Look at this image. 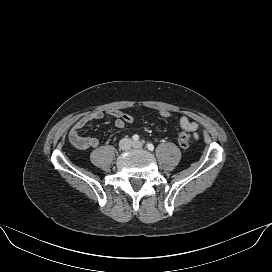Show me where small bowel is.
Segmentation results:
<instances>
[{
    "label": "small bowel",
    "mask_w": 272,
    "mask_h": 272,
    "mask_svg": "<svg viewBox=\"0 0 272 272\" xmlns=\"http://www.w3.org/2000/svg\"><path fill=\"white\" fill-rule=\"evenodd\" d=\"M107 113L115 119L114 126L117 129H122L125 127L126 123L122 119L123 113L120 110L113 109L109 110ZM103 117L104 112L94 111L78 119L71 127L68 134V139L71 145L79 150L97 148L100 143L99 140L95 137H83L81 135V131L91 121L100 120ZM179 125L183 130L192 133L195 138H198L197 130L199 126L196 122L191 121L187 116H181L179 119Z\"/></svg>",
    "instance_id": "c3829d8e"
}]
</instances>
